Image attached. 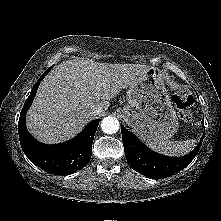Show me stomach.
Returning <instances> with one entry per match:
<instances>
[{"label": "stomach", "instance_id": "obj_1", "mask_svg": "<svg viewBox=\"0 0 221 221\" xmlns=\"http://www.w3.org/2000/svg\"><path fill=\"white\" fill-rule=\"evenodd\" d=\"M126 100L122 117L144 141H168L177 132L178 117L159 69L149 67L128 86Z\"/></svg>", "mask_w": 221, "mask_h": 221}]
</instances>
